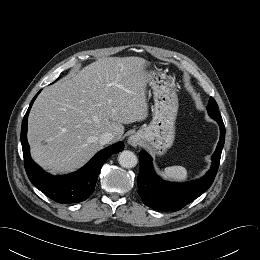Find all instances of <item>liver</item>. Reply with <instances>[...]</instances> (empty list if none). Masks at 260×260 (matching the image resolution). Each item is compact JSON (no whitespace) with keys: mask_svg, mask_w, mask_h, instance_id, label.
<instances>
[{"mask_svg":"<svg viewBox=\"0 0 260 260\" xmlns=\"http://www.w3.org/2000/svg\"><path fill=\"white\" fill-rule=\"evenodd\" d=\"M139 57H108L46 87L28 118L33 160L52 174L75 171L101 148L105 132L118 141L123 124L147 117L148 82Z\"/></svg>","mask_w":260,"mask_h":260,"instance_id":"obj_1","label":"liver"}]
</instances>
